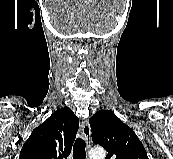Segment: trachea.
Returning a JSON list of instances; mask_svg holds the SVG:
<instances>
[{"instance_id": "obj_1", "label": "trachea", "mask_w": 173, "mask_h": 159, "mask_svg": "<svg viewBox=\"0 0 173 159\" xmlns=\"http://www.w3.org/2000/svg\"><path fill=\"white\" fill-rule=\"evenodd\" d=\"M85 141L82 138H77L74 146H73V159H85L86 151H85Z\"/></svg>"}]
</instances>
